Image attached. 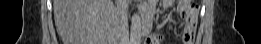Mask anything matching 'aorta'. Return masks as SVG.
Segmentation results:
<instances>
[{
  "label": "aorta",
  "instance_id": "obj_1",
  "mask_svg": "<svg viewBox=\"0 0 261 44\" xmlns=\"http://www.w3.org/2000/svg\"><path fill=\"white\" fill-rule=\"evenodd\" d=\"M130 41L132 44L141 42V19L139 14H134L131 20Z\"/></svg>",
  "mask_w": 261,
  "mask_h": 44
}]
</instances>
